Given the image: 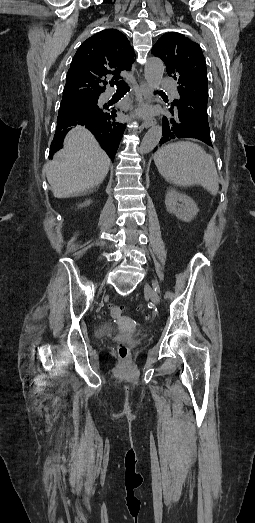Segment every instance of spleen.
I'll use <instances>...</instances> for the list:
<instances>
[{
    "label": "spleen",
    "instance_id": "spleen-1",
    "mask_svg": "<svg viewBox=\"0 0 255 523\" xmlns=\"http://www.w3.org/2000/svg\"><path fill=\"white\" fill-rule=\"evenodd\" d=\"M154 162L159 174L175 186L200 184L212 196L219 190L214 160L198 144L176 142L162 146L155 152Z\"/></svg>",
    "mask_w": 255,
    "mask_h": 523
}]
</instances>
